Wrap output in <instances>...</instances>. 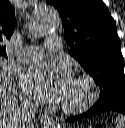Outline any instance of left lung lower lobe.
Returning <instances> with one entry per match:
<instances>
[{
  "instance_id": "left-lung-lower-lobe-1",
  "label": "left lung lower lobe",
  "mask_w": 125,
  "mask_h": 128,
  "mask_svg": "<svg viewBox=\"0 0 125 128\" xmlns=\"http://www.w3.org/2000/svg\"><path fill=\"white\" fill-rule=\"evenodd\" d=\"M108 111H115L125 114V89L119 90L113 97L109 98L104 102L96 103L87 112L81 115L69 117L67 121L74 122L80 119L87 118L89 116H94L102 112Z\"/></svg>"
}]
</instances>
